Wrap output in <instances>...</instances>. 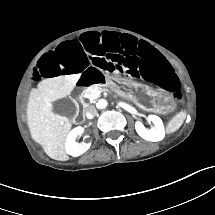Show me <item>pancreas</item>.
<instances>
[{
	"label": "pancreas",
	"instance_id": "pancreas-1",
	"mask_svg": "<svg viewBox=\"0 0 215 215\" xmlns=\"http://www.w3.org/2000/svg\"><path fill=\"white\" fill-rule=\"evenodd\" d=\"M110 89L112 92H114L115 94H117L120 97H125V92H123L122 90H120L116 84L114 82H110ZM93 90H101V85H91L90 87H88L85 91L84 94L86 93L88 95V98L90 100V102H93L96 98L94 97V95L92 94Z\"/></svg>",
	"mask_w": 215,
	"mask_h": 215
}]
</instances>
